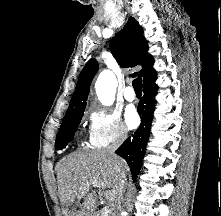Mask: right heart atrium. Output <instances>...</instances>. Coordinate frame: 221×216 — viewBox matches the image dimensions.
<instances>
[{
  "label": "right heart atrium",
  "instance_id": "obj_1",
  "mask_svg": "<svg viewBox=\"0 0 221 216\" xmlns=\"http://www.w3.org/2000/svg\"><path fill=\"white\" fill-rule=\"evenodd\" d=\"M88 115V138L93 147L122 143L128 138V129L116 111L93 106L88 110Z\"/></svg>",
  "mask_w": 221,
  "mask_h": 216
}]
</instances>
